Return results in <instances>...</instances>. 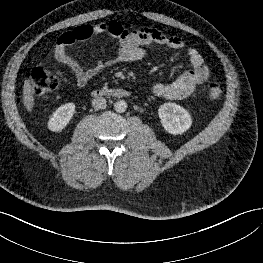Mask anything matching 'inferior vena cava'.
<instances>
[{
    "label": "inferior vena cava",
    "mask_w": 263,
    "mask_h": 263,
    "mask_svg": "<svg viewBox=\"0 0 263 263\" xmlns=\"http://www.w3.org/2000/svg\"><path fill=\"white\" fill-rule=\"evenodd\" d=\"M107 106V101L103 97H96L92 100V107L94 109H105Z\"/></svg>",
    "instance_id": "1"
}]
</instances>
